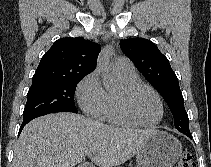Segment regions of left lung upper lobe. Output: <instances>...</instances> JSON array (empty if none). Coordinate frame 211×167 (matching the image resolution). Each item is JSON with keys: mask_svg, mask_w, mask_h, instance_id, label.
<instances>
[{"mask_svg": "<svg viewBox=\"0 0 211 167\" xmlns=\"http://www.w3.org/2000/svg\"><path fill=\"white\" fill-rule=\"evenodd\" d=\"M120 47L162 95L173 114L175 128L180 132H190L189 119L184 108V99L178 78L165 55L153 42L144 38L121 40Z\"/></svg>", "mask_w": 211, "mask_h": 167, "instance_id": "5c2ea615", "label": "left lung upper lobe"}]
</instances>
